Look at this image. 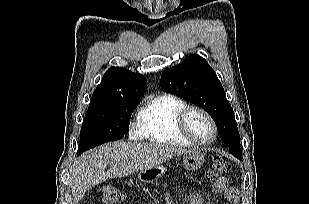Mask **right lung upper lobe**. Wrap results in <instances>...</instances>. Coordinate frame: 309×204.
<instances>
[{"instance_id": "obj_1", "label": "right lung upper lobe", "mask_w": 309, "mask_h": 204, "mask_svg": "<svg viewBox=\"0 0 309 204\" xmlns=\"http://www.w3.org/2000/svg\"><path fill=\"white\" fill-rule=\"evenodd\" d=\"M147 88L146 78L121 67H111L95 89L90 104L117 99H141Z\"/></svg>"}]
</instances>
